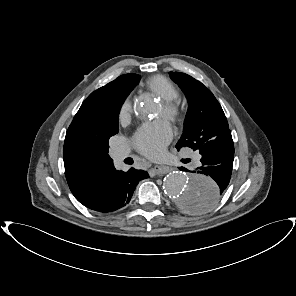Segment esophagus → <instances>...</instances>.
I'll return each instance as SVG.
<instances>
[{"mask_svg":"<svg viewBox=\"0 0 296 296\" xmlns=\"http://www.w3.org/2000/svg\"><path fill=\"white\" fill-rule=\"evenodd\" d=\"M171 171V168L167 166H160L156 165L152 170H151V175L153 176H162L164 174H167L168 172Z\"/></svg>","mask_w":296,"mask_h":296,"instance_id":"1","label":"esophagus"}]
</instances>
